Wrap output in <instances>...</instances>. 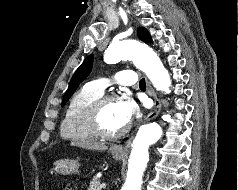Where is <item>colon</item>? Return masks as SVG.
Masks as SVG:
<instances>
[{"label":"colon","mask_w":238,"mask_h":190,"mask_svg":"<svg viewBox=\"0 0 238 190\" xmlns=\"http://www.w3.org/2000/svg\"><path fill=\"white\" fill-rule=\"evenodd\" d=\"M63 190H73V189L70 188V187H67V188H65V189H63Z\"/></svg>","instance_id":"colon-1"}]
</instances>
